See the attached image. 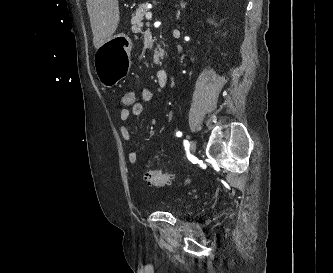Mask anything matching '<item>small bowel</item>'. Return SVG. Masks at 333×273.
<instances>
[{
    "label": "small bowel",
    "instance_id": "obj_1",
    "mask_svg": "<svg viewBox=\"0 0 333 273\" xmlns=\"http://www.w3.org/2000/svg\"><path fill=\"white\" fill-rule=\"evenodd\" d=\"M141 98H142L143 102H151L153 100L152 90L149 88H143L141 90ZM129 106H130V109L123 107L119 110L118 117L121 122L128 121L131 114L134 116H140L144 112V106L141 102L134 101ZM119 132H120V135L123 138V140L129 141L130 131L126 126L122 125L119 129ZM127 160L131 166L137 167L139 164V157H138L137 152L129 151L127 154Z\"/></svg>",
    "mask_w": 333,
    "mask_h": 273
}]
</instances>
